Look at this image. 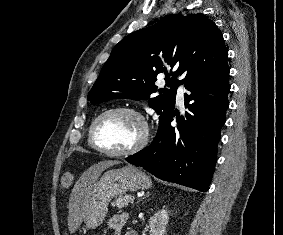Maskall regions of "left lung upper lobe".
<instances>
[{"label": "left lung upper lobe", "instance_id": "left-lung-upper-lobe-1", "mask_svg": "<svg viewBox=\"0 0 283 235\" xmlns=\"http://www.w3.org/2000/svg\"><path fill=\"white\" fill-rule=\"evenodd\" d=\"M228 58L221 31L203 14L167 15L156 24L122 39L112 50L88 93L92 104L112 99L149 100L159 123L175 107L176 89L221 65ZM176 69L170 78L165 65ZM167 75L168 89H159L156 76ZM177 76H182L181 81ZM159 92L160 95L156 96Z\"/></svg>", "mask_w": 283, "mask_h": 235}]
</instances>
